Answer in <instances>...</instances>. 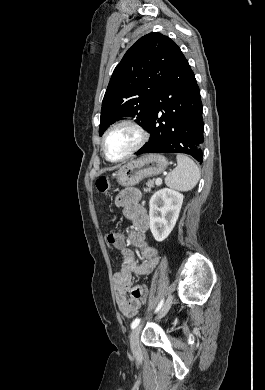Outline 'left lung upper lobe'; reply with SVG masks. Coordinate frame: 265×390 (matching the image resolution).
Instances as JSON below:
<instances>
[{
  "label": "left lung upper lobe",
  "mask_w": 265,
  "mask_h": 390,
  "mask_svg": "<svg viewBox=\"0 0 265 390\" xmlns=\"http://www.w3.org/2000/svg\"><path fill=\"white\" fill-rule=\"evenodd\" d=\"M169 37L152 32L128 49L116 66L101 108L100 136L123 116H137L146 128L155 95L181 57Z\"/></svg>",
  "instance_id": "obj_1"
}]
</instances>
